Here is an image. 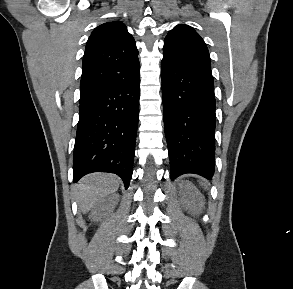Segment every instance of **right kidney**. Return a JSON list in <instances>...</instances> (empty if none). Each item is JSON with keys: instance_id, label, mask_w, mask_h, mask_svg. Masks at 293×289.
Segmentation results:
<instances>
[{"instance_id": "right-kidney-1", "label": "right kidney", "mask_w": 293, "mask_h": 289, "mask_svg": "<svg viewBox=\"0 0 293 289\" xmlns=\"http://www.w3.org/2000/svg\"><path fill=\"white\" fill-rule=\"evenodd\" d=\"M99 211L100 207H95L94 210L91 212L90 218L97 219Z\"/></svg>"}]
</instances>
